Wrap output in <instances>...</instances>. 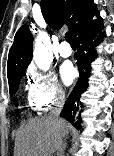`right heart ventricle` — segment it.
Wrapping results in <instances>:
<instances>
[{"label":"right heart ventricle","mask_w":114,"mask_h":156,"mask_svg":"<svg viewBox=\"0 0 114 156\" xmlns=\"http://www.w3.org/2000/svg\"><path fill=\"white\" fill-rule=\"evenodd\" d=\"M28 104H29V107H30L31 109H33V110H38V109L35 107V105L31 102L30 99H28Z\"/></svg>","instance_id":"right-heart-ventricle-1"}]
</instances>
